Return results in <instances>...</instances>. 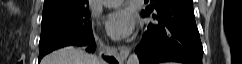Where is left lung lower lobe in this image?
<instances>
[{
  "instance_id": "0a47b994",
  "label": "left lung lower lobe",
  "mask_w": 242,
  "mask_h": 64,
  "mask_svg": "<svg viewBox=\"0 0 242 64\" xmlns=\"http://www.w3.org/2000/svg\"><path fill=\"white\" fill-rule=\"evenodd\" d=\"M141 15L151 16L136 48L140 64L180 62L202 64L203 47L196 26L193 0H163Z\"/></svg>"
}]
</instances>
